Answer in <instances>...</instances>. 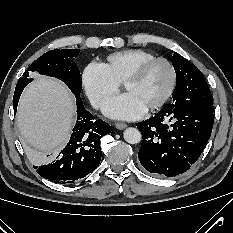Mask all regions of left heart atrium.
<instances>
[{"label": "left heart atrium", "mask_w": 233, "mask_h": 233, "mask_svg": "<svg viewBox=\"0 0 233 233\" xmlns=\"http://www.w3.org/2000/svg\"><path fill=\"white\" fill-rule=\"evenodd\" d=\"M146 110L147 108L130 93L109 100L104 107V113L107 116L124 120L139 118Z\"/></svg>", "instance_id": "39dd6f15"}]
</instances>
